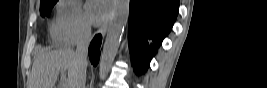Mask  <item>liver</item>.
I'll use <instances>...</instances> for the list:
<instances>
[{"label": "liver", "instance_id": "6515ba94", "mask_svg": "<svg viewBox=\"0 0 267 88\" xmlns=\"http://www.w3.org/2000/svg\"><path fill=\"white\" fill-rule=\"evenodd\" d=\"M80 63L70 48L49 51L39 55L33 63L30 88H54L58 73L67 71L68 88H76Z\"/></svg>", "mask_w": 267, "mask_h": 88}]
</instances>
